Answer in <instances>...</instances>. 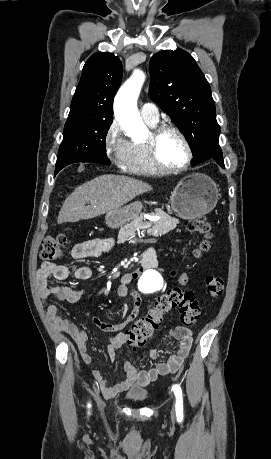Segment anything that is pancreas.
Returning a JSON list of instances; mask_svg holds the SVG:
<instances>
[{
  "label": "pancreas",
  "instance_id": "cf45deb5",
  "mask_svg": "<svg viewBox=\"0 0 271 459\" xmlns=\"http://www.w3.org/2000/svg\"><path fill=\"white\" fill-rule=\"evenodd\" d=\"M154 216H160V220L152 219L150 221L152 224L151 231L154 235H163V233H167V231L173 232L175 230L177 222L175 220H171L170 216H167L164 212H161V214H154ZM144 223H147V221H144L143 225ZM136 228H138V222H132V224H128V226H123V228L119 231V239L132 237V235H135ZM144 232L146 233L147 231L145 230Z\"/></svg>",
  "mask_w": 271,
  "mask_h": 459
}]
</instances>
